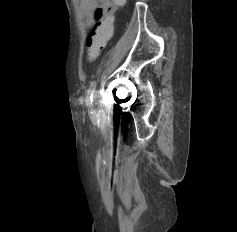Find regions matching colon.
Wrapping results in <instances>:
<instances>
[{
  "label": "colon",
  "mask_w": 237,
  "mask_h": 232,
  "mask_svg": "<svg viewBox=\"0 0 237 232\" xmlns=\"http://www.w3.org/2000/svg\"><path fill=\"white\" fill-rule=\"evenodd\" d=\"M126 0H117L118 6L125 4ZM114 12L110 13L104 20L98 22L90 31L86 39L87 58L89 62L95 61L105 48L107 42L113 35Z\"/></svg>",
  "instance_id": "colon-1"
}]
</instances>
